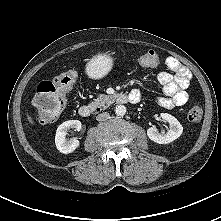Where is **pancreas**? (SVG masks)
<instances>
[{
	"instance_id": "1",
	"label": "pancreas",
	"mask_w": 221,
	"mask_h": 221,
	"mask_svg": "<svg viewBox=\"0 0 221 221\" xmlns=\"http://www.w3.org/2000/svg\"><path fill=\"white\" fill-rule=\"evenodd\" d=\"M115 100L114 95H105V94H100L92 103L93 106H100L103 107L104 109L107 108L109 105L113 103Z\"/></svg>"
}]
</instances>
